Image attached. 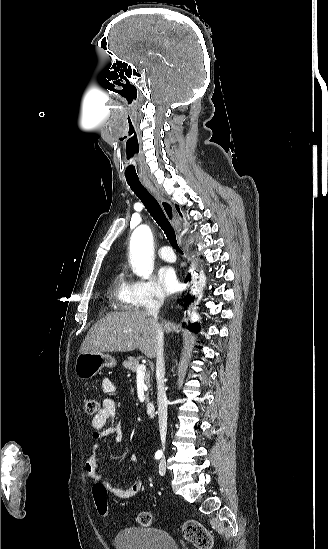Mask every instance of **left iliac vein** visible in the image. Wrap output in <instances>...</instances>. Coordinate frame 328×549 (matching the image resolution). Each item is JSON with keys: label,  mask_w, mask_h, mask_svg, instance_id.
I'll return each instance as SVG.
<instances>
[{"label": "left iliac vein", "mask_w": 328, "mask_h": 549, "mask_svg": "<svg viewBox=\"0 0 328 549\" xmlns=\"http://www.w3.org/2000/svg\"><path fill=\"white\" fill-rule=\"evenodd\" d=\"M166 471V463L165 460H162L159 464V473L160 475H164Z\"/></svg>", "instance_id": "1"}]
</instances>
